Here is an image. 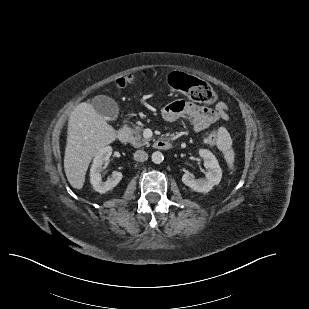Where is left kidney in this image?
I'll return each mask as SVG.
<instances>
[{
  "label": "left kidney",
  "instance_id": "left-kidney-1",
  "mask_svg": "<svg viewBox=\"0 0 309 309\" xmlns=\"http://www.w3.org/2000/svg\"><path fill=\"white\" fill-rule=\"evenodd\" d=\"M199 155L207 168L206 178L194 179L190 173L182 176V182L196 192L207 193L212 190L214 185L220 183L222 170L215 155L207 149H200Z\"/></svg>",
  "mask_w": 309,
  "mask_h": 309
}]
</instances>
